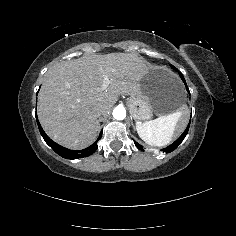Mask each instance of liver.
<instances>
[{
  "label": "liver",
  "instance_id": "6515ba94",
  "mask_svg": "<svg viewBox=\"0 0 236 236\" xmlns=\"http://www.w3.org/2000/svg\"><path fill=\"white\" fill-rule=\"evenodd\" d=\"M146 63L134 53H86L51 67L38 94V119L58 144L81 150L96 139L100 124L94 112L107 115L120 94L135 96L148 73ZM110 80L101 91L104 76Z\"/></svg>",
  "mask_w": 236,
  "mask_h": 236
}]
</instances>
